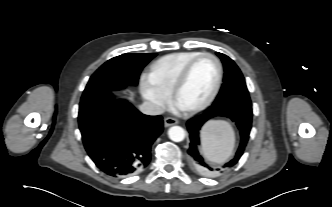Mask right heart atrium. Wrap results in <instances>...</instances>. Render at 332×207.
Listing matches in <instances>:
<instances>
[{"label":"right heart atrium","mask_w":332,"mask_h":207,"mask_svg":"<svg viewBox=\"0 0 332 207\" xmlns=\"http://www.w3.org/2000/svg\"><path fill=\"white\" fill-rule=\"evenodd\" d=\"M140 88L144 99L151 103L157 111H163L169 104V95L154 87L146 78L141 80Z\"/></svg>","instance_id":"1"}]
</instances>
